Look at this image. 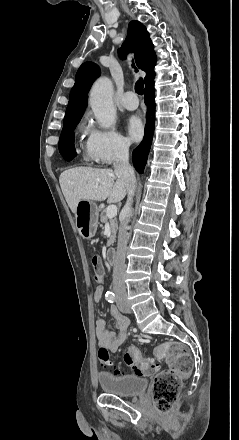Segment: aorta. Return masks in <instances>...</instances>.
<instances>
[{"mask_svg": "<svg viewBox=\"0 0 239 440\" xmlns=\"http://www.w3.org/2000/svg\"><path fill=\"white\" fill-rule=\"evenodd\" d=\"M89 104L101 128H111L115 124L117 110L113 104V84L109 78H99L93 84Z\"/></svg>", "mask_w": 239, "mask_h": 440, "instance_id": "762f6f07", "label": "aorta"}]
</instances>
